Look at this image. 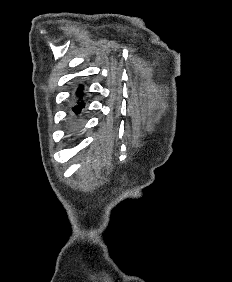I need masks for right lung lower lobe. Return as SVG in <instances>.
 Masks as SVG:
<instances>
[{
	"label": "right lung lower lobe",
	"instance_id": "98d812e1",
	"mask_svg": "<svg viewBox=\"0 0 232 282\" xmlns=\"http://www.w3.org/2000/svg\"><path fill=\"white\" fill-rule=\"evenodd\" d=\"M77 95H79V97H82L83 93H82V86L79 87V89L77 90ZM84 107L83 104H78L77 106H75L73 108V111L76 113V114H79V112L81 111V109Z\"/></svg>",
	"mask_w": 232,
	"mask_h": 282
}]
</instances>
